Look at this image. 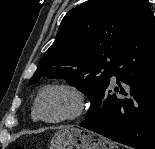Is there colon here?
I'll use <instances>...</instances> for the list:
<instances>
[{
  "label": "colon",
  "mask_w": 155,
  "mask_h": 149,
  "mask_svg": "<svg viewBox=\"0 0 155 149\" xmlns=\"http://www.w3.org/2000/svg\"><path fill=\"white\" fill-rule=\"evenodd\" d=\"M18 149H25L24 147H19Z\"/></svg>",
  "instance_id": "5ec220e1"
}]
</instances>
